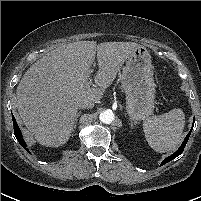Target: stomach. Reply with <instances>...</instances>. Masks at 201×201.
<instances>
[{
  "mask_svg": "<svg viewBox=\"0 0 201 201\" xmlns=\"http://www.w3.org/2000/svg\"><path fill=\"white\" fill-rule=\"evenodd\" d=\"M121 83L126 94L127 113L132 120L146 119L154 109L155 83L149 51L140 46L128 56Z\"/></svg>",
  "mask_w": 201,
  "mask_h": 201,
  "instance_id": "obj_1",
  "label": "stomach"
}]
</instances>
